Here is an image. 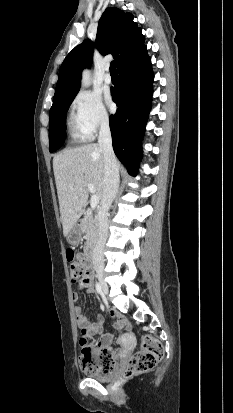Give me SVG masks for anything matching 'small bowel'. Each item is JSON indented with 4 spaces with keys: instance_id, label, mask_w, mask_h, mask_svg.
<instances>
[{
    "instance_id": "small-bowel-1",
    "label": "small bowel",
    "mask_w": 233,
    "mask_h": 413,
    "mask_svg": "<svg viewBox=\"0 0 233 413\" xmlns=\"http://www.w3.org/2000/svg\"><path fill=\"white\" fill-rule=\"evenodd\" d=\"M78 290H86L88 293L94 291L93 285V275L92 273L86 279L81 280L78 283ZM79 300V294H73V301L77 302ZM112 315L116 317L115 327L116 328H128L129 323L126 318L111 311ZM75 316L81 333L84 336L95 338L97 341L98 348L110 349L109 344L113 339V334L105 333L104 328V317L102 315H97L95 321H90L89 317L85 315L81 306L75 307ZM114 356H118L121 352H113Z\"/></svg>"
}]
</instances>
